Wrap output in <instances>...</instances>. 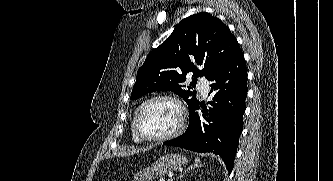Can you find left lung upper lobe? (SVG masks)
Returning <instances> with one entry per match:
<instances>
[{"label": "left lung upper lobe", "instance_id": "1", "mask_svg": "<svg viewBox=\"0 0 333 181\" xmlns=\"http://www.w3.org/2000/svg\"><path fill=\"white\" fill-rule=\"evenodd\" d=\"M239 48L235 36L220 19L201 12L184 19L168 39L147 56L137 73L131 99L153 91L171 90L182 97L189 109L199 104L188 89L197 77L207 79L222 67ZM203 66L199 70L197 66ZM193 83L186 85V75Z\"/></svg>", "mask_w": 333, "mask_h": 181}]
</instances>
